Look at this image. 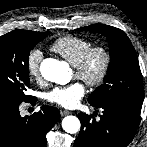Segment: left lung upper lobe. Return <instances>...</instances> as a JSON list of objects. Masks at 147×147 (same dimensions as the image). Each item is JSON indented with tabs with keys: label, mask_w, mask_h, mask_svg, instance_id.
Instances as JSON below:
<instances>
[{
	"label": "left lung upper lobe",
	"mask_w": 147,
	"mask_h": 147,
	"mask_svg": "<svg viewBox=\"0 0 147 147\" xmlns=\"http://www.w3.org/2000/svg\"><path fill=\"white\" fill-rule=\"evenodd\" d=\"M103 34L109 42L110 63L104 84L88 97L92 106L125 104L141 111L143 85L138 57L127 35L120 29L94 24L77 29Z\"/></svg>",
	"instance_id": "left-lung-upper-lobe-1"
}]
</instances>
